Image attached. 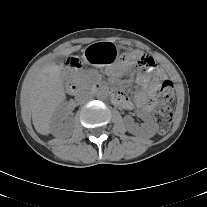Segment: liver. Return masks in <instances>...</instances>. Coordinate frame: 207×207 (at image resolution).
<instances>
[{"instance_id": "liver-1", "label": "liver", "mask_w": 207, "mask_h": 207, "mask_svg": "<svg viewBox=\"0 0 207 207\" xmlns=\"http://www.w3.org/2000/svg\"><path fill=\"white\" fill-rule=\"evenodd\" d=\"M80 48V45L66 48L57 55H69ZM54 57H49L34 68L28 74L22 89V95L32 111L34 128L42 135L51 132L52 117L65 99L62 72Z\"/></svg>"}]
</instances>
